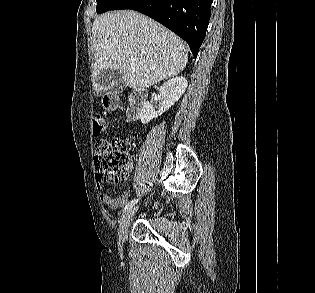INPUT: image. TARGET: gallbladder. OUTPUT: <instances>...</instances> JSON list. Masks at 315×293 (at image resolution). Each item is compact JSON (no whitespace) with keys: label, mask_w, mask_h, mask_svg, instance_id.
Here are the masks:
<instances>
[{"label":"gallbladder","mask_w":315,"mask_h":293,"mask_svg":"<svg viewBox=\"0 0 315 293\" xmlns=\"http://www.w3.org/2000/svg\"><path fill=\"white\" fill-rule=\"evenodd\" d=\"M97 82L101 86H110L115 83L114 87L120 89L122 82V72L119 70L105 69L102 70L100 75L97 77Z\"/></svg>","instance_id":"obj_1"}]
</instances>
